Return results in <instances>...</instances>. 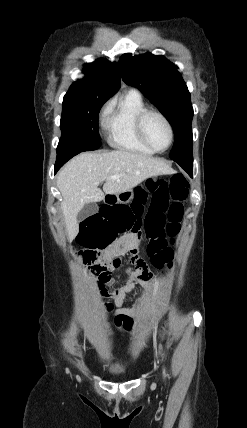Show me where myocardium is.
<instances>
[{"label": "myocardium", "instance_id": "f54148a6", "mask_svg": "<svg viewBox=\"0 0 247 428\" xmlns=\"http://www.w3.org/2000/svg\"><path fill=\"white\" fill-rule=\"evenodd\" d=\"M150 115H156V116L160 117L168 128L170 139H169L168 145L164 149H158V148L154 147L151 144V142L149 141V139L147 138V135L145 132V121L148 118V116H150ZM136 131H137V134H138L140 140L147 147H149L151 150H153L154 152H157V153H162V152L167 151L172 146V144L174 142V130H173L171 122L162 112L155 110V109H145L138 114V116L136 118Z\"/></svg>", "mask_w": 247, "mask_h": 428}]
</instances>
